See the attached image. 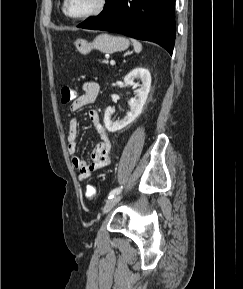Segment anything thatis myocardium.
I'll return each mask as SVG.
<instances>
[{
  "instance_id": "obj_1",
  "label": "myocardium",
  "mask_w": 243,
  "mask_h": 289,
  "mask_svg": "<svg viewBox=\"0 0 243 289\" xmlns=\"http://www.w3.org/2000/svg\"><path fill=\"white\" fill-rule=\"evenodd\" d=\"M107 4H108L107 0H99L97 7L93 11L83 14V15L74 16L69 12V0H64L63 9H64L65 14L69 18L74 19V20H85V19L95 17L101 14L106 9Z\"/></svg>"
}]
</instances>
